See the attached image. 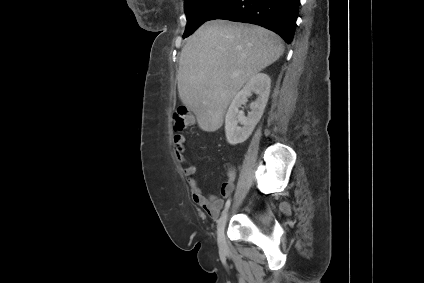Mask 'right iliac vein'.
Listing matches in <instances>:
<instances>
[{
  "label": "right iliac vein",
  "mask_w": 424,
  "mask_h": 283,
  "mask_svg": "<svg viewBox=\"0 0 424 283\" xmlns=\"http://www.w3.org/2000/svg\"><path fill=\"white\" fill-rule=\"evenodd\" d=\"M227 218H228V211H226L222 215V217L219 219L217 224V242H218L219 249L223 252L227 250V243H226V238L224 234Z\"/></svg>",
  "instance_id": "63e3f726"
}]
</instances>
